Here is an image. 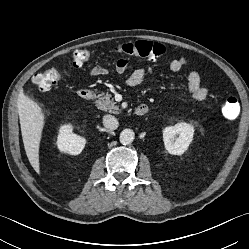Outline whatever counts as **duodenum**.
<instances>
[{
  "label": "duodenum",
  "instance_id": "duodenum-1",
  "mask_svg": "<svg viewBox=\"0 0 249 249\" xmlns=\"http://www.w3.org/2000/svg\"><path fill=\"white\" fill-rule=\"evenodd\" d=\"M78 95L82 100L89 101L93 98L94 93L91 89L89 88H81L78 91ZM148 107L144 103H139L135 106V113L138 116H143L147 113Z\"/></svg>",
  "mask_w": 249,
  "mask_h": 249
}]
</instances>
